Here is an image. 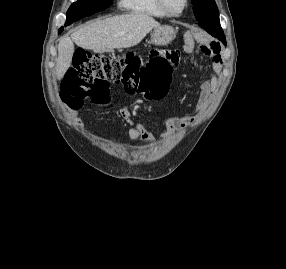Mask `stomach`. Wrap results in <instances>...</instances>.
Listing matches in <instances>:
<instances>
[{
	"instance_id": "1",
	"label": "stomach",
	"mask_w": 286,
	"mask_h": 269,
	"mask_svg": "<svg viewBox=\"0 0 286 269\" xmlns=\"http://www.w3.org/2000/svg\"><path fill=\"white\" fill-rule=\"evenodd\" d=\"M175 38V30L171 26H159L151 34V43L157 46L167 45Z\"/></svg>"
}]
</instances>
